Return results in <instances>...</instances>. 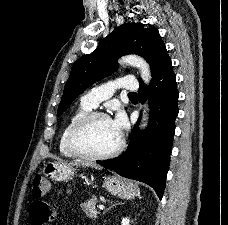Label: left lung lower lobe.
<instances>
[{"label":"left lung lower lobe","mask_w":228,"mask_h":225,"mask_svg":"<svg viewBox=\"0 0 228 225\" xmlns=\"http://www.w3.org/2000/svg\"><path fill=\"white\" fill-rule=\"evenodd\" d=\"M147 93L150 99L147 129L139 134V118L127 150L119 157L97 163L123 177L150 185L162 199L175 132V118L178 115L179 96L169 56L165 57L152 74V83L148 91L144 84L140 83V102L145 100Z\"/></svg>","instance_id":"1"}]
</instances>
